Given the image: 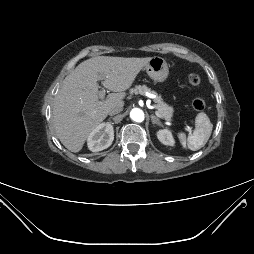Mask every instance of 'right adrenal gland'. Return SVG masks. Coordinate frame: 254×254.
I'll return each instance as SVG.
<instances>
[{
  "instance_id": "1",
  "label": "right adrenal gland",
  "mask_w": 254,
  "mask_h": 254,
  "mask_svg": "<svg viewBox=\"0 0 254 254\" xmlns=\"http://www.w3.org/2000/svg\"><path fill=\"white\" fill-rule=\"evenodd\" d=\"M112 118H109L108 120L111 121Z\"/></svg>"
}]
</instances>
